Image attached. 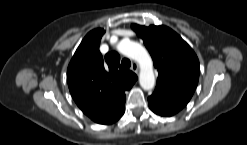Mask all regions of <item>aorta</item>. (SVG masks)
Listing matches in <instances>:
<instances>
[{
  "label": "aorta",
  "mask_w": 247,
  "mask_h": 145,
  "mask_svg": "<svg viewBox=\"0 0 247 145\" xmlns=\"http://www.w3.org/2000/svg\"><path fill=\"white\" fill-rule=\"evenodd\" d=\"M118 50L125 56L137 61L140 65L139 83L144 90H150L155 85L152 59L147 50L139 43L124 40L118 45Z\"/></svg>",
  "instance_id": "obj_1"
}]
</instances>
